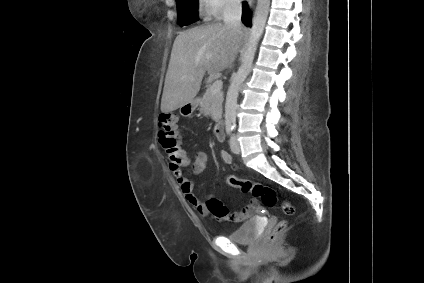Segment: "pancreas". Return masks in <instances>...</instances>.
<instances>
[{
  "label": "pancreas",
  "instance_id": "pancreas-1",
  "mask_svg": "<svg viewBox=\"0 0 424 283\" xmlns=\"http://www.w3.org/2000/svg\"><path fill=\"white\" fill-rule=\"evenodd\" d=\"M214 76L213 78H215ZM224 96L222 92L213 94L210 91V85L208 86L205 95L200 100V111L205 116H211L214 121H219L222 114V103Z\"/></svg>",
  "mask_w": 424,
  "mask_h": 283
}]
</instances>
